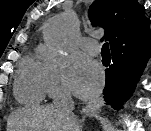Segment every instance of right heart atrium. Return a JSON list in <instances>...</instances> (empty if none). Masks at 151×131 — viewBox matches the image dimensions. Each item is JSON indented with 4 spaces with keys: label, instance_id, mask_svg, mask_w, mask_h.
<instances>
[{
    "label": "right heart atrium",
    "instance_id": "obj_1",
    "mask_svg": "<svg viewBox=\"0 0 151 131\" xmlns=\"http://www.w3.org/2000/svg\"><path fill=\"white\" fill-rule=\"evenodd\" d=\"M46 93L51 97L68 94L65 62L61 57L45 54L41 60Z\"/></svg>",
    "mask_w": 151,
    "mask_h": 131
}]
</instances>
